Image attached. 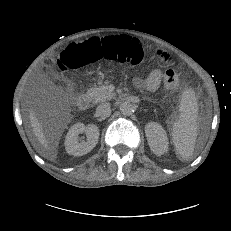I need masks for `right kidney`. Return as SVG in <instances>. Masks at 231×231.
<instances>
[{"label":"right kidney","mask_w":231,"mask_h":231,"mask_svg":"<svg viewBox=\"0 0 231 231\" xmlns=\"http://www.w3.org/2000/svg\"><path fill=\"white\" fill-rule=\"evenodd\" d=\"M85 132L86 141L79 142V134ZM99 128L95 124L85 126L83 123L74 124L68 131L65 138V148L68 154L82 156L90 152L98 143Z\"/></svg>","instance_id":"1"}]
</instances>
